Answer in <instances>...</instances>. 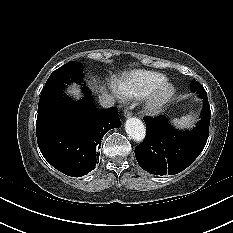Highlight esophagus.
<instances>
[{"label": "esophagus", "instance_id": "obj_1", "mask_svg": "<svg viewBox=\"0 0 233 233\" xmlns=\"http://www.w3.org/2000/svg\"><path fill=\"white\" fill-rule=\"evenodd\" d=\"M124 116H125V117H130V116H132V112H131L129 109H126V110L124 111Z\"/></svg>", "mask_w": 233, "mask_h": 233}]
</instances>
